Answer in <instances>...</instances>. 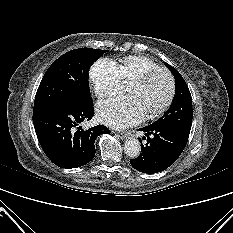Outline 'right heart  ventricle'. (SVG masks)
Listing matches in <instances>:
<instances>
[{
	"label": "right heart ventricle",
	"mask_w": 233,
	"mask_h": 233,
	"mask_svg": "<svg viewBox=\"0 0 233 233\" xmlns=\"http://www.w3.org/2000/svg\"><path fill=\"white\" fill-rule=\"evenodd\" d=\"M158 67L160 66L155 61L141 55L125 57L117 64L123 81H131L145 71Z\"/></svg>",
	"instance_id": "right-heart-ventricle-1"
}]
</instances>
